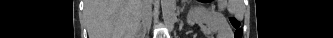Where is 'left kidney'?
<instances>
[{"label":"left kidney","instance_id":"left-kidney-1","mask_svg":"<svg viewBox=\"0 0 333 38\" xmlns=\"http://www.w3.org/2000/svg\"><path fill=\"white\" fill-rule=\"evenodd\" d=\"M187 24H205L210 34L216 38H229L232 34L229 24L222 13L209 10L204 6H195L187 14Z\"/></svg>","mask_w":333,"mask_h":38}]
</instances>
